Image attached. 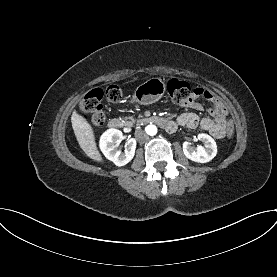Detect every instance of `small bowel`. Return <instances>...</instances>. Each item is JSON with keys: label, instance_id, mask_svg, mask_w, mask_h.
<instances>
[{"label": "small bowel", "instance_id": "1", "mask_svg": "<svg viewBox=\"0 0 277 277\" xmlns=\"http://www.w3.org/2000/svg\"><path fill=\"white\" fill-rule=\"evenodd\" d=\"M199 97L205 98L212 104V106L208 108V112L212 118L205 117L199 119L195 113L186 112L182 113L175 123L191 129L200 126L213 137L217 139L224 138L225 132L228 130L226 128L228 110L224 103L213 92L204 88H196L193 98L180 105L187 109L200 111L203 107L196 101Z\"/></svg>", "mask_w": 277, "mask_h": 277}]
</instances>
